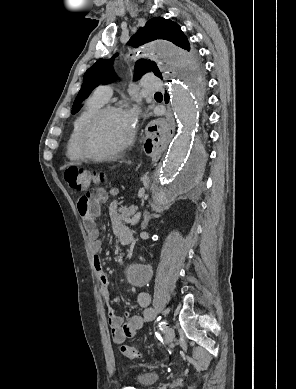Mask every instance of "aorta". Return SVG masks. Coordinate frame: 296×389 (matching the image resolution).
I'll return each instance as SVG.
<instances>
[{"mask_svg": "<svg viewBox=\"0 0 296 389\" xmlns=\"http://www.w3.org/2000/svg\"><path fill=\"white\" fill-rule=\"evenodd\" d=\"M153 50L144 52V59L157 66L160 74L169 80L171 107L178 123V132L158 173L152 189V202L164 205L187 189H198L201 167H205L207 145L197 135L200 125V109L205 98L204 69L191 67L189 53L172 43L157 41ZM128 62L137 59L132 49L123 52ZM151 275L145 265H131L127 270L129 281L135 286L147 283Z\"/></svg>", "mask_w": 296, "mask_h": 389, "instance_id": "1", "label": "aorta"}]
</instances>
